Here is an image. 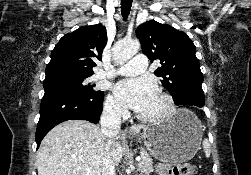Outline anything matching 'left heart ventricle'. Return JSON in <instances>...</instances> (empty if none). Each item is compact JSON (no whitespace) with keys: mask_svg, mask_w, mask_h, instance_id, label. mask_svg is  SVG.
<instances>
[{"mask_svg":"<svg viewBox=\"0 0 251 175\" xmlns=\"http://www.w3.org/2000/svg\"><path fill=\"white\" fill-rule=\"evenodd\" d=\"M162 109H163V104L161 102L160 97H158V99H157L156 103L154 104V106L146 114L147 115L156 114V113L160 112Z\"/></svg>","mask_w":251,"mask_h":175,"instance_id":"b2bd125f","label":"left heart ventricle"}]
</instances>
